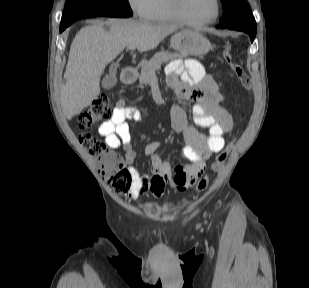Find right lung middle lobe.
<instances>
[{"instance_id": "dd1d6c3e", "label": "right lung middle lobe", "mask_w": 309, "mask_h": 288, "mask_svg": "<svg viewBox=\"0 0 309 288\" xmlns=\"http://www.w3.org/2000/svg\"><path fill=\"white\" fill-rule=\"evenodd\" d=\"M94 11H119L133 14L128 0H67L60 27H68L75 20Z\"/></svg>"}]
</instances>
